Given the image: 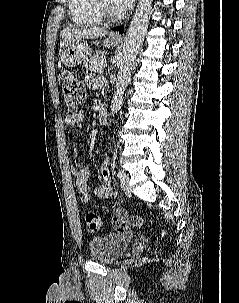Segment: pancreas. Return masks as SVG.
<instances>
[{
    "instance_id": "pancreas-1",
    "label": "pancreas",
    "mask_w": 239,
    "mask_h": 303,
    "mask_svg": "<svg viewBox=\"0 0 239 303\" xmlns=\"http://www.w3.org/2000/svg\"><path fill=\"white\" fill-rule=\"evenodd\" d=\"M105 60L103 51H96V53L84 61V66L89 71L102 72L104 67L100 65L101 61Z\"/></svg>"
}]
</instances>
